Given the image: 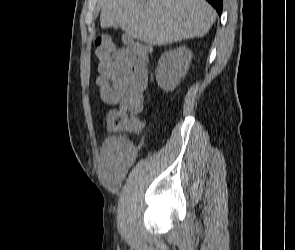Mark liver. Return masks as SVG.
I'll return each mask as SVG.
<instances>
[{"label": "liver", "mask_w": 295, "mask_h": 250, "mask_svg": "<svg viewBox=\"0 0 295 250\" xmlns=\"http://www.w3.org/2000/svg\"><path fill=\"white\" fill-rule=\"evenodd\" d=\"M216 12L205 0H102L103 29L120 27L150 45H167L205 36Z\"/></svg>", "instance_id": "liver-1"}]
</instances>
